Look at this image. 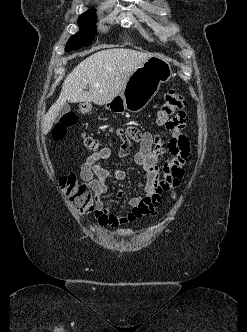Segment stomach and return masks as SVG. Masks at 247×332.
<instances>
[{
	"instance_id": "obj_1",
	"label": "stomach",
	"mask_w": 247,
	"mask_h": 332,
	"mask_svg": "<svg viewBox=\"0 0 247 332\" xmlns=\"http://www.w3.org/2000/svg\"><path fill=\"white\" fill-rule=\"evenodd\" d=\"M171 76V65L160 57L152 56L131 74L122 92L105 106L116 112H140Z\"/></svg>"
}]
</instances>
